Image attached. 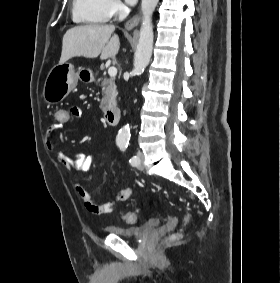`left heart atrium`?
I'll return each instance as SVG.
<instances>
[{
    "mask_svg": "<svg viewBox=\"0 0 280 283\" xmlns=\"http://www.w3.org/2000/svg\"><path fill=\"white\" fill-rule=\"evenodd\" d=\"M125 1L129 5H134L137 2V0H125Z\"/></svg>",
    "mask_w": 280,
    "mask_h": 283,
    "instance_id": "obj_1",
    "label": "left heart atrium"
}]
</instances>
